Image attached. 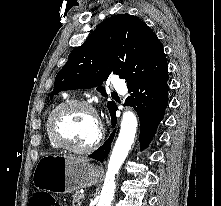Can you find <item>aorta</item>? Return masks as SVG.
Listing matches in <instances>:
<instances>
[{
  "instance_id": "1",
  "label": "aorta",
  "mask_w": 221,
  "mask_h": 206,
  "mask_svg": "<svg viewBox=\"0 0 221 206\" xmlns=\"http://www.w3.org/2000/svg\"><path fill=\"white\" fill-rule=\"evenodd\" d=\"M136 128L137 118L135 114L131 111L124 112L120 133L108 161V169L97 206H111L116 188L115 177L131 149Z\"/></svg>"
}]
</instances>
